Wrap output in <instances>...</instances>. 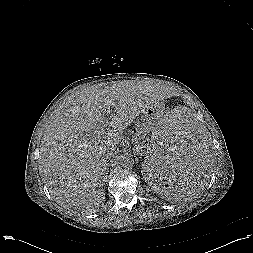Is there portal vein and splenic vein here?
I'll list each match as a JSON object with an SVG mask.
<instances>
[{"instance_id":"obj_1","label":"portal vein and splenic vein","mask_w":253,"mask_h":253,"mask_svg":"<svg viewBox=\"0 0 253 253\" xmlns=\"http://www.w3.org/2000/svg\"><path fill=\"white\" fill-rule=\"evenodd\" d=\"M105 126H106V124H105ZM101 132H102V131H100V130H96V131L94 132V135L100 136V135H101Z\"/></svg>"}]
</instances>
